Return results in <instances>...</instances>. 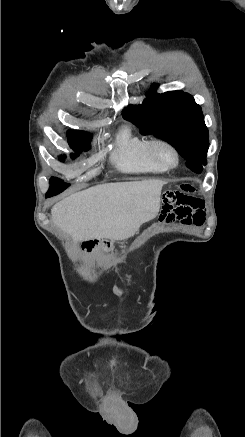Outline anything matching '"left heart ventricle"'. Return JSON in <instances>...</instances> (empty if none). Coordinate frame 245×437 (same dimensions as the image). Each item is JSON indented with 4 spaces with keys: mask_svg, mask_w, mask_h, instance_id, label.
I'll use <instances>...</instances> for the list:
<instances>
[{
    "mask_svg": "<svg viewBox=\"0 0 245 437\" xmlns=\"http://www.w3.org/2000/svg\"><path fill=\"white\" fill-rule=\"evenodd\" d=\"M163 156L167 159V160H171L172 156L168 151H162Z\"/></svg>",
    "mask_w": 245,
    "mask_h": 437,
    "instance_id": "1",
    "label": "left heart ventricle"
}]
</instances>
